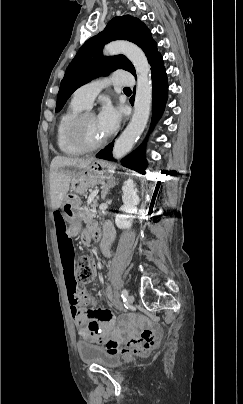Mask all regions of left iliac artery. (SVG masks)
<instances>
[{"label": "left iliac artery", "instance_id": "1", "mask_svg": "<svg viewBox=\"0 0 243 404\" xmlns=\"http://www.w3.org/2000/svg\"><path fill=\"white\" fill-rule=\"evenodd\" d=\"M128 296V291L126 289H123L121 292V297L123 298V300H125Z\"/></svg>", "mask_w": 243, "mask_h": 404}]
</instances>
